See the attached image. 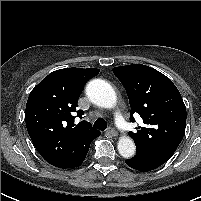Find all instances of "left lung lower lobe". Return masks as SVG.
<instances>
[{
    "label": "left lung lower lobe",
    "mask_w": 201,
    "mask_h": 201,
    "mask_svg": "<svg viewBox=\"0 0 201 201\" xmlns=\"http://www.w3.org/2000/svg\"><path fill=\"white\" fill-rule=\"evenodd\" d=\"M172 155L170 154H155V155H138L125 160V163L136 170L147 172L164 164Z\"/></svg>",
    "instance_id": "0a47b994"
}]
</instances>
